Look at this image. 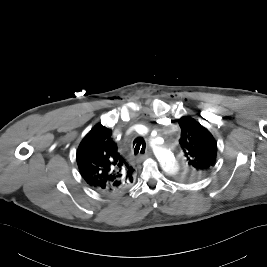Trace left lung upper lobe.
<instances>
[{
    "mask_svg": "<svg viewBox=\"0 0 267 267\" xmlns=\"http://www.w3.org/2000/svg\"><path fill=\"white\" fill-rule=\"evenodd\" d=\"M179 125L182 131L179 142L186 157L181 179L186 182L200 180L215 165L216 141L205 127L188 116L182 117Z\"/></svg>",
    "mask_w": 267,
    "mask_h": 267,
    "instance_id": "5c2ea615",
    "label": "left lung upper lobe"
}]
</instances>
